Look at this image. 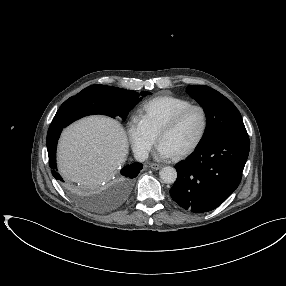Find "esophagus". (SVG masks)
<instances>
[{
    "mask_svg": "<svg viewBox=\"0 0 286 286\" xmlns=\"http://www.w3.org/2000/svg\"><path fill=\"white\" fill-rule=\"evenodd\" d=\"M150 168L153 169V170H159L162 168V165L161 164H157V163H151L150 164Z\"/></svg>",
    "mask_w": 286,
    "mask_h": 286,
    "instance_id": "esophagus-1",
    "label": "esophagus"
}]
</instances>
